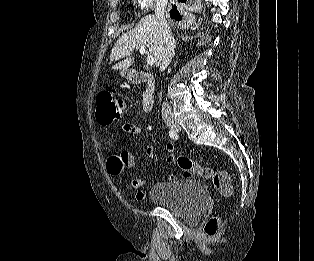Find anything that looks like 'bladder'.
<instances>
[{"label": "bladder", "instance_id": "1", "mask_svg": "<svg viewBox=\"0 0 314 261\" xmlns=\"http://www.w3.org/2000/svg\"><path fill=\"white\" fill-rule=\"evenodd\" d=\"M148 198L187 220L198 218L208 207L207 188L197 180L156 183Z\"/></svg>", "mask_w": 314, "mask_h": 261}]
</instances>
